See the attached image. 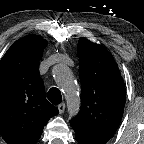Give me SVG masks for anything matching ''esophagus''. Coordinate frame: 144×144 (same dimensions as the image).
<instances>
[{"label":"esophagus","instance_id":"1","mask_svg":"<svg viewBox=\"0 0 144 144\" xmlns=\"http://www.w3.org/2000/svg\"><path fill=\"white\" fill-rule=\"evenodd\" d=\"M59 113L62 114L65 111V103H61L58 105Z\"/></svg>","mask_w":144,"mask_h":144}]
</instances>
